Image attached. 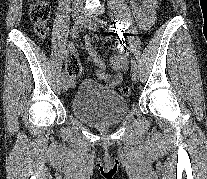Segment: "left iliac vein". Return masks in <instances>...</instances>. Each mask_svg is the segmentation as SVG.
Listing matches in <instances>:
<instances>
[{
    "label": "left iliac vein",
    "instance_id": "obj_1",
    "mask_svg": "<svg viewBox=\"0 0 207 179\" xmlns=\"http://www.w3.org/2000/svg\"><path fill=\"white\" fill-rule=\"evenodd\" d=\"M102 21L101 19L94 17V18H89L87 16L83 17V22L82 25L84 28L92 31H96L97 27L101 25L99 22ZM131 79L133 82H138L139 80V74L137 68L133 67L131 69Z\"/></svg>",
    "mask_w": 207,
    "mask_h": 179
}]
</instances>
